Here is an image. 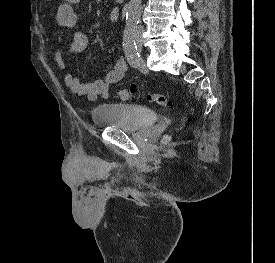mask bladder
<instances>
[{
	"mask_svg": "<svg viewBox=\"0 0 275 263\" xmlns=\"http://www.w3.org/2000/svg\"><path fill=\"white\" fill-rule=\"evenodd\" d=\"M92 118L98 127L137 130L156 124L158 115L146 106L102 104L92 110Z\"/></svg>",
	"mask_w": 275,
	"mask_h": 263,
	"instance_id": "1",
	"label": "bladder"
}]
</instances>
